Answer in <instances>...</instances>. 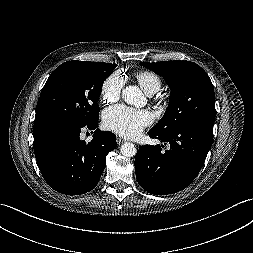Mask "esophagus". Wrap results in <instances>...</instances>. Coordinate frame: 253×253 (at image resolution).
Masks as SVG:
<instances>
[{
    "mask_svg": "<svg viewBox=\"0 0 253 253\" xmlns=\"http://www.w3.org/2000/svg\"><path fill=\"white\" fill-rule=\"evenodd\" d=\"M124 142H125L124 139H122V138H120V137L117 138V143H118L119 145L122 144V143H124Z\"/></svg>",
    "mask_w": 253,
    "mask_h": 253,
    "instance_id": "34e87169",
    "label": "esophagus"
}]
</instances>
